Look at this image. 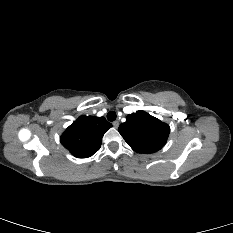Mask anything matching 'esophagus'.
<instances>
[{
  "label": "esophagus",
  "instance_id": "1",
  "mask_svg": "<svg viewBox=\"0 0 233 233\" xmlns=\"http://www.w3.org/2000/svg\"><path fill=\"white\" fill-rule=\"evenodd\" d=\"M112 124H113V126H114L115 128H118V126H119V121L116 120V121H114Z\"/></svg>",
  "mask_w": 233,
  "mask_h": 233
}]
</instances>
